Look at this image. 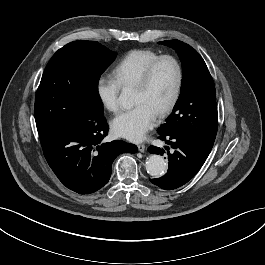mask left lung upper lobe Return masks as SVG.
I'll use <instances>...</instances> for the list:
<instances>
[{
    "mask_svg": "<svg viewBox=\"0 0 265 265\" xmlns=\"http://www.w3.org/2000/svg\"><path fill=\"white\" fill-rule=\"evenodd\" d=\"M172 47L179 55L183 79L181 93L159 135L188 138L210 153L217 134L216 92L210 72L199 53L179 40L160 42Z\"/></svg>",
    "mask_w": 265,
    "mask_h": 265,
    "instance_id": "1",
    "label": "left lung upper lobe"
}]
</instances>
